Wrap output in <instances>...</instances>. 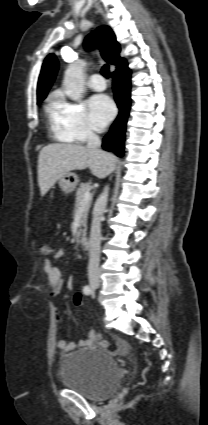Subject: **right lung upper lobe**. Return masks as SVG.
<instances>
[{
    "label": "right lung upper lobe",
    "mask_w": 208,
    "mask_h": 425,
    "mask_svg": "<svg viewBox=\"0 0 208 425\" xmlns=\"http://www.w3.org/2000/svg\"><path fill=\"white\" fill-rule=\"evenodd\" d=\"M86 49L100 47L105 61L117 67L116 70L127 66L126 60L120 57V44L116 41L114 32L109 26L99 27L89 34L84 42ZM58 71V61L54 54H49L42 65L37 86V100L42 101Z\"/></svg>",
    "instance_id": "obj_1"
}]
</instances>
